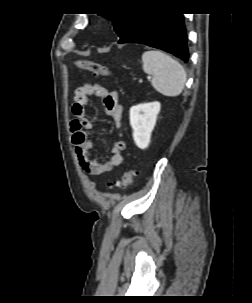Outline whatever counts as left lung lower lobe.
<instances>
[{
	"label": "left lung lower lobe",
	"instance_id": "left-lung-lower-lobe-1",
	"mask_svg": "<svg viewBox=\"0 0 252 303\" xmlns=\"http://www.w3.org/2000/svg\"><path fill=\"white\" fill-rule=\"evenodd\" d=\"M140 43L169 52L189 61L187 35L180 13L147 12L135 28L118 43Z\"/></svg>",
	"mask_w": 252,
	"mask_h": 303
}]
</instances>
